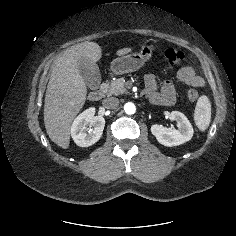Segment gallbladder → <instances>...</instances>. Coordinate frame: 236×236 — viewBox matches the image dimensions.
I'll return each instance as SVG.
<instances>
[{
    "label": "gallbladder",
    "instance_id": "gallbladder-1",
    "mask_svg": "<svg viewBox=\"0 0 236 236\" xmlns=\"http://www.w3.org/2000/svg\"><path fill=\"white\" fill-rule=\"evenodd\" d=\"M77 66L85 84L91 90L98 89L101 83L99 67L92 60L82 57L78 60Z\"/></svg>",
    "mask_w": 236,
    "mask_h": 236
}]
</instances>
